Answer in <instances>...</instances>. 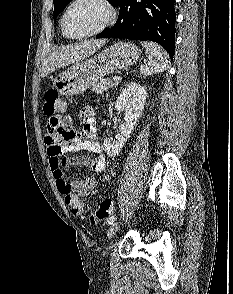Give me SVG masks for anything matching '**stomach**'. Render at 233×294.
<instances>
[{
    "label": "stomach",
    "mask_w": 233,
    "mask_h": 294,
    "mask_svg": "<svg viewBox=\"0 0 233 294\" xmlns=\"http://www.w3.org/2000/svg\"><path fill=\"white\" fill-rule=\"evenodd\" d=\"M140 54L136 45L117 42L96 56L78 62L58 74L53 80V86L64 96L80 94L115 70L131 66Z\"/></svg>",
    "instance_id": "1"
}]
</instances>
